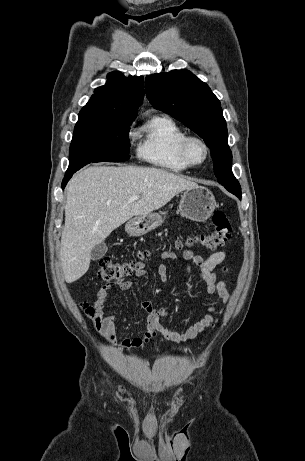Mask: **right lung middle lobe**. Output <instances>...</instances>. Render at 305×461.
I'll return each mask as SVG.
<instances>
[{"instance_id": "right-lung-middle-lobe-1", "label": "right lung middle lobe", "mask_w": 305, "mask_h": 461, "mask_svg": "<svg viewBox=\"0 0 305 461\" xmlns=\"http://www.w3.org/2000/svg\"><path fill=\"white\" fill-rule=\"evenodd\" d=\"M134 119L79 114L70 145L69 168L90 162L129 159V128Z\"/></svg>"}]
</instances>
